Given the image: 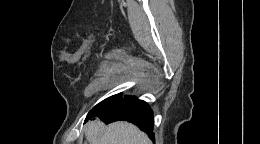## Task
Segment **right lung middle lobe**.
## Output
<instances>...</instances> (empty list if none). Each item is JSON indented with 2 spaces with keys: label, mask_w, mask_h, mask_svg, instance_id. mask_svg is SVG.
Listing matches in <instances>:
<instances>
[{
  "label": "right lung middle lobe",
  "mask_w": 260,
  "mask_h": 144,
  "mask_svg": "<svg viewBox=\"0 0 260 144\" xmlns=\"http://www.w3.org/2000/svg\"><path fill=\"white\" fill-rule=\"evenodd\" d=\"M112 97H114V96H111V97H109V98H107V99H105V100H103L102 102H100L99 104H97L96 106H94L91 110H90V112L88 113V115H90L92 112H94L97 108H99L100 106H102L103 104H105L108 100H110Z\"/></svg>",
  "instance_id": "right-lung-middle-lobe-1"
}]
</instances>
